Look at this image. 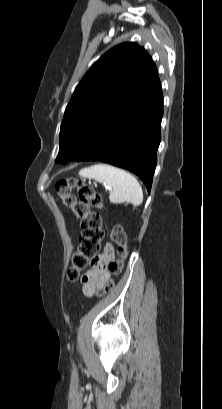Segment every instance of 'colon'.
<instances>
[{
	"mask_svg": "<svg viewBox=\"0 0 222 409\" xmlns=\"http://www.w3.org/2000/svg\"><path fill=\"white\" fill-rule=\"evenodd\" d=\"M55 189L62 204L82 220L79 246L72 255L71 265L67 270L68 280L75 282L79 279L81 272L88 267L90 257L100 256L98 252L104 237L103 215L99 211L103 205L102 197L93 187L73 176L58 180ZM75 189L78 191V196L74 193ZM111 240L117 246L118 255L117 259L109 261V270L112 276L115 277L122 272L128 255L126 234L120 225L112 227ZM113 288L114 279L111 278L103 287L97 290L96 295L102 296Z\"/></svg>",
	"mask_w": 222,
	"mask_h": 409,
	"instance_id": "colon-1",
	"label": "colon"
}]
</instances>
